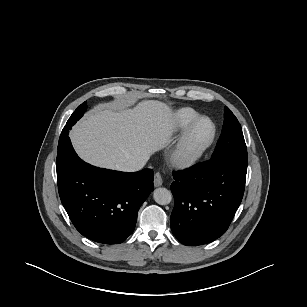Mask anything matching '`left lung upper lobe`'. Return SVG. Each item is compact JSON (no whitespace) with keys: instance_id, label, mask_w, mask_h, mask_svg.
<instances>
[{"instance_id":"1","label":"left lung upper lobe","mask_w":307,"mask_h":307,"mask_svg":"<svg viewBox=\"0 0 307 307\" xmlns=\"http://www.w3.org/2000/svg\"><path fill=\"white\" fill-rule=\"evenodd\" d=\"M211 159H229L247 166V148L241 129L235 115L224 108V124Z\"/></svg>"}]
</instances>
